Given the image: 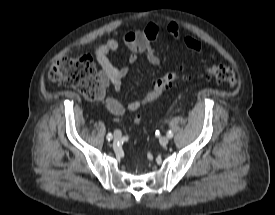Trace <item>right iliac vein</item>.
I'll return each mask as SVG.
<instances>
[{"label":"right iliac vein","instance_id":"63e3f726","mask_svg":"<svg viewBox=\"0 0 275 215\" xmlns=\"http://www.w3.org/2000/svg\"><path fill=\"white\" fill-rule=\"evenodd\" d=\"M121 136H122L121 131H119V130H115V131H114V137H115L116 139H120Z\"/></svg>","mask_w":275,"mask_h":215}]
</instances>
